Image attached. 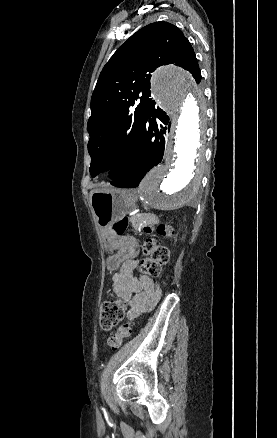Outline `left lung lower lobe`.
<instances>
[{"mask_svg":"<svg viewBox=\"0 0 277 438\" xmlns=\"http://www.w3.org/2000/svg\"><path fill=\"white\" fill-rule=\"evenodd\" d=\"M160 121L162 124H158ZM169 118L159 107L155 108V101L151 100L147 107L144 127L136 152L124 173L111 182L117 187L134 188L145 174L158 165L163 159L166 130L170 128Z\"/></svg>","mask_w":277,"mask_h":438,"instance_id":"left-lung-lower-lobe-1","label":"left lung lower lobe"}]
</instances>
